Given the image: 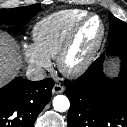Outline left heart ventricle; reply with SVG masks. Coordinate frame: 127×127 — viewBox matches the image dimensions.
Wrapping results in <instances>:
<instances>
[{
	"label": "left heart ventricle",
	"instance_id": "left-heart-ventricle-1",
	"mask_svg": "<svg viewBox=\"0 0 127 127\" xmlns=\"http://www.w3.org/2000/svg\"><path fill=\"white\" fill-rule=\"evenodd\" d=\"M101 31V25L97 18L88 20L79 31L73 49L68 58V64H79L88 54L97 40Z\"/></svg>",
	"mask_w": 127,
	"mask_h": 127
}]
</instances>
